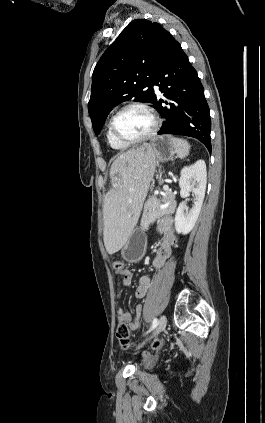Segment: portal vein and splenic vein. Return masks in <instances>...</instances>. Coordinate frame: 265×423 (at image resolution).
Instances as JSON below:
<instances>
[{"label":"portal vein and splenic vein","instance_id":"obj_1","mask_svg":"<svg viewBox=\"0 0 265 423\" xmlns=\"http://www.w3.org/2000/svg\"><path fill=\"white\" fill-rule=\"evenodd\" d=\"M163 189H164V191H168L169 190V186L168 185H164L163 186ZM166 205L161 206V208H164Z\"/></svg>","mask_w":265,"mask_h":423}]
</instances>
